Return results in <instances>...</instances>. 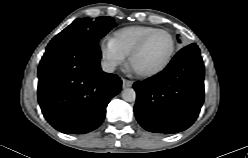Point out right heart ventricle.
<instances>
[{"label":"right heart ventricle","mask_w":248,"mask_h":158,"mask_svg":"<svg viewBox=\"0 0 248 158\" xmlns=\"http://www.w3.org/2000/svg\"><path fill=\"white\" fill-rule=\"evenodd\" d=\"M155 30L148 26H130L121 28L113 33L112 41L119 50L128 56L138 42L149 32Z\"/></svg>","instance_id":"obj_1"}]
</instances>
